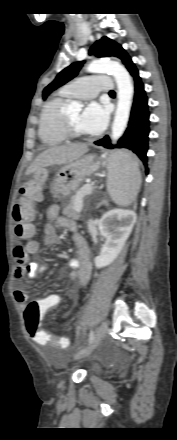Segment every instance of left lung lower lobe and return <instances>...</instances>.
I'll list each match as a JSON object with an SVG mask.
<instances>
[{
	"label": "left lung lower lobe",
	"mask_w": 177,
	"mask_h": 440,
	"mask_svg": "<svg viewBox=\"0 0 177 440\" xmlns=\"http://www.w3.org/2000/svg\"><path fill=\"white\" fill-rule=\"evenodd\" d=\"M133 82H134V101L131 109V116L129 119L128 127L124 135L118 140L115 145L116 148H126L132 150L143 162L147 168V150H148V135L149 129V110H148V98L144 90V84L139 77V72L136 67L129 70ZM96 145H101L106 148H113L110 144L108 136L95 142Z\"/></svg>",
	"instance_id": "obj_1"
}]
</instances>
